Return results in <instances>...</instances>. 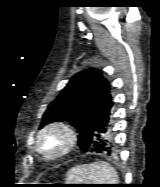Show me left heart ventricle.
I'll list each match as a JSON object with an SVG mask.
<instances>
[{
    "label": "left heart ventricle",
    "instance_id": "left-heart-ventricle-1",
    "mask_svg": "<svg viewBox=\"0 0 160 187\" xmlns=\"http://www.w3.org/2000/svg\"><path fill=\"white\" fill-rule=\"evenodd\" d=\"M57 141H58V140H57L56 138H54L53 140H51L50 146H51V147L54 146V145L56 144Z\"/></svg>",
    "mask_w": 160,
    "mask_h": 187
}]
</instances>
